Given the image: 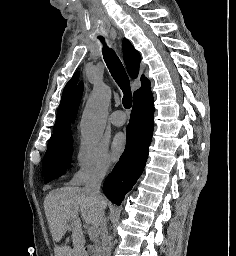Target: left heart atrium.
Listing matches in <instances>:
<instances>
[{"mask_svg":"<svg viewBox=\"0 0 236 256\" xmlns=\"http://www.w3.org/2000/svg\"><path fill=\"white\" fill-rule=\"evenodd\" d=\"M126 147V138L123 134H118L114 137L112 143V157L118 158Z\"/></svg>","mask_w":236,"mask_h":256,"instance_id":"1","label":"left heart atrium"}]
</instances>
